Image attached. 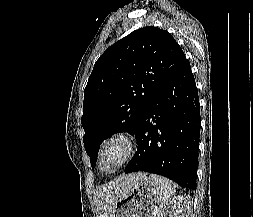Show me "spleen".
Returning <instances> with one entry per match:
<instances>
[{"instance_id": "obj_1", "label": "spleen", "mask_w": 253, "mask_h": 217, "mask_svg": "<svg viewBox=\"0 0 253 217\" xmlns=\"http://www.w3.org/2000/svg\"><path fill=\"white\" fill-rule=\"evenodd\" d=\"M149 179L157 186L158 201L161 209L175 194L176 185L169 179L155 174H151Z\"/></svg>"}]
</instances>
